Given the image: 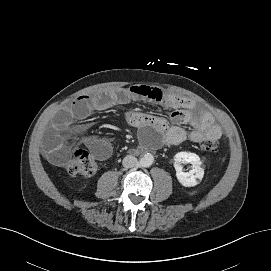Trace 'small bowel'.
Instances as JSON below:
<instances>
[{"mask_svg": "<svg viewBox=\"0 0 271 271\" xmlns=\"http://www.w3.org/2000/svg\"><path fill=\"white\" fill-rule=\"evenodd\" d=\"M139 100L174 109L169 119L140 112L127 113L126 121L139 129L140 137L143 140L155 141V135L160 134L159 143L170 146L180 144L185 140L199 143L207 137L218 139L222 134L221 128L215 123L213 116L205 110H196V104L192 99L166 92L157 87L133 85L94 95L84 94L75 98L54 117L44 138V155L53 164L61 165L69 155L64 133L75 120H83L95 110ZM184 125L189 127L185 128ZM84 143L100 160H105L112 154V146L105 139L88 136L84 139Z\"/></svg>", "mask_w": 271, "mask_h": 271, "instance_id": "c3829d8e", "label": "small bowel"}]
</instances>
